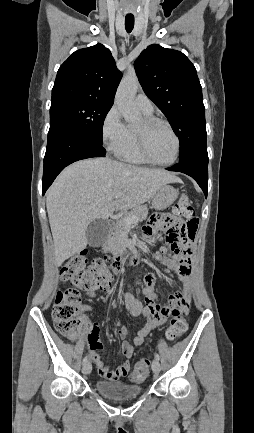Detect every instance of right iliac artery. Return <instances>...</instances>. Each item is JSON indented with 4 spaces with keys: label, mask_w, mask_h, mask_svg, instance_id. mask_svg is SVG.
<instances>
[{
    "label": "right iliac artery",
    "mask_w": 254,
    "mask_h": 433,
    "mask_svg": "<svg viewBox=\"0 0 254 433\" xmlns=\"http://www.w3.org/2000/svg\"><path fill=\"white\" fill-rule=\"evenodd\" d=\"M85 363H87V356H85L84 359H83V365H84Z\"/></svg>",
    "instance_id": "82829eb1"
}]
</instances>
